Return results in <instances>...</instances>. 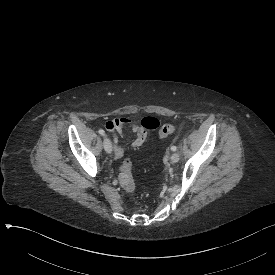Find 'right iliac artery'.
Masks as SVG:
<instances>
[{
    "label": "right iliac artery",
    "mask_w": 275,
    "mask_h": 275,
    "mask_svg": "<svg viewBox=\"0 0 275 275\" xmlns=\"http://www.w3.org/2000/svg\"><path fill=\"white\" fill-rule=\"evenodd\" d=\"M98 132L101 136H105V131L104 130L100 129Z\"/></svg>",
    "instance_id": "82829eb1"
}]
</instances>
